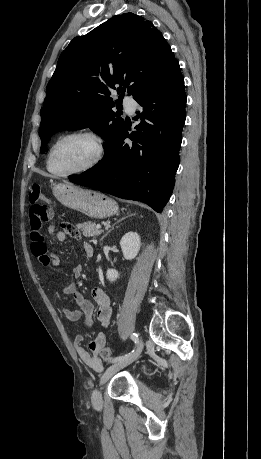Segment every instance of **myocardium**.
Segmentation results:
<instances>
[{"label": "myocardium", "instance_id": "1", "mask_svg": "<svg viewBox=\"0 0 261 459\" xmlns=\"http://www.w3.org/2000/svg\"><path fill=\"white\" fill-rule=\"evenodd\" d=\"M71 137H85L89 139L93 143V146H94V155L88 163H86L84 166L78 169H75V170H72L66 173L54 172L51 169L52 154L59 143ZM105 151H106V148H105L104 141L97 133L90 131V130H84V129L68 131L58 136L50 145V148L47 153V158H46V167H47V170L52 175L57 176V177H62V178L82 174V173L88 172L94 169L95 167H97L103 160L105 156Z\"/></svg>", "mask_w": 261, "mask_h": 459}]
</instances>
